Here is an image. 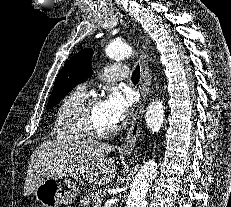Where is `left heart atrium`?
<instances>
[{
  "label": "left heart atrium",
  "mask_w": 231,
  "mask_h": 207,
  "mask_svg": "<svg viewBox=\"0 0 231 207\" xmlns=\"http://www.w3.org/2000/svg\"><path fill=\"white\" fill-rule=\"evenodd\" d=\"M106 118L114 125L123 121L129 114L133 105L131 93H121L117 90L111 91L101 102Z\"/></svg>",
  "instance_id": "39dd6f15"
}]
</instances>
